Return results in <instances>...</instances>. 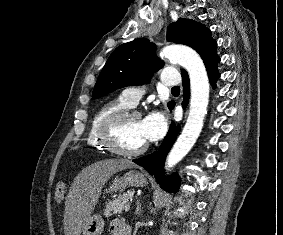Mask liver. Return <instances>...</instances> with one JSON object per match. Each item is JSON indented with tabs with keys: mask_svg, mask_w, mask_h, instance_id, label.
<instances>
[{
	"mask_svg": "<svg viewBox=\"0 0 283 235\" xmlns=\"http://www.w3.org/2000/svg\"><path fill=\"white\" fill-rule=\"evenodd\" d=\"M134 167L136 165L126 159H107L84 168L75 177L66 199L63 219L65 235H80L107 180L121 170Z\"/></svg>",
	"mask_w": 283,
	"mask_h": 235,
	"instance_id": "obj_1",
	"label": "liver"
}]
</instances>
